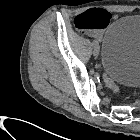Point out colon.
Here are the masks:
<instances>
[{
    "instance_id": "obj_1",
    "label": "colon",
    "mask_w": 140,
    "mask_h": 140,
    "mask_svg": "<svg viewBox=\"0 0 140 140\" xmlns=\"http://www.w3.org/2000/svg\"><path fill=\"white\" fill-rule=\"evenodd\" d=\"M102 15L107 19L109 20L110 19V16L109 14L106 12V11H102ZM85 17H86V13H83L81 15H78L76 18H75V25L80 28V29H86L85 27L82 26V24L84 23L85 21ZM104 81H105V84L107 86V88L109 90H111L112 92H118V86L116 84V82L110 78V77H105L104 78Z\"/></svg>"
}]
</instances>
